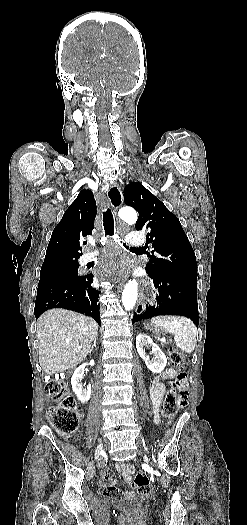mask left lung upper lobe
<instances>
[{
  "mask_svg": "<svg viewBox=\"0 0 247 525\" xmlns=\"http://www.w3.org/2000/svg\"><path fill=\"white\" fill-rule=\"evenodd\" d=\"M124 202L138 211L136 229L149 230L147 240L156 255L150 256L148 274L197 280L196 257L179 219L138 182L125 186Z\"/></svg>",
  "mask_w": 247,
  "mask_h": 525,
  "instance_id": "5c2ea615",
  "label": "left lung upper lobe"
}]
</instances>
